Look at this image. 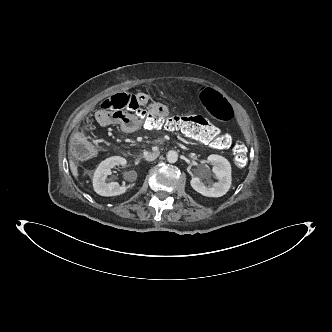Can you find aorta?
<instances>
[{"mask_svg": "<svg viewBox=\"0 0 332 332\" xmlns=\"http://www.w3.org/2000/svg\"><path fill=\"white\" fill-rule=\"evenodd\" d=\"M177 160H178V154H177V152L174 151V150H170L167 153V161L169 163H175Z\"/></svg>", "mask_w": 332, "mask_h": 332, "instance_id": "762f6f07", "label": "aorta"}]
</instances>
